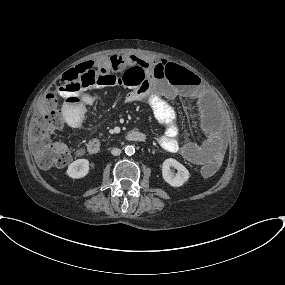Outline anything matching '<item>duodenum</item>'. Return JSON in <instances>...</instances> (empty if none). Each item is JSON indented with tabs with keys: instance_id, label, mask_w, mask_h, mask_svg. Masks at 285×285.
<instances>
[{
	"instance_id": "410a0bca",
	"label": "duodenum",
	"mask_w": 285,
	"mask_h": 285,
	"mask_svg": "<svg viewBox=\"0 0 285 285\" xmlns=\"http://www.w3.org/2000/svg\"><path fill=\"white\" fill-rule=\"evenodd\" d=\"M126 139L132 142H144L146 136L141 131L133 130L127 133ZM103 142L100 139H92L87 145V150L91 155H97L102 150Z\"/></svg>"
}]
</instances>
